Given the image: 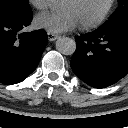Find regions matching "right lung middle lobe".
I'll list each match as a JSON object with an SVG mask.
<instances>
[{"label":"right lung middle lobe","mask_w":128,"mask_h":128,"mask_svg":"<svg viewBox=\"0 0 128 128\" xmlns=\"http://www.w3.org/2000/svg\"><path fill=\"white\" fill-rule=\"evenodd\" d=\"M31 15L28 0H0V19L14 20Z\"/></svg>","instance_id":"obj_1"}]
</instances>
